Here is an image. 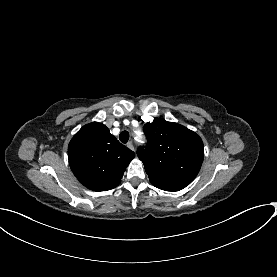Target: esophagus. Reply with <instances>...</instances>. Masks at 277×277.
Here are the masks:
<instances>
[{
    "instance_id": "esophagus-1",
    "label": "esophagus",
    "mask_w": 277,
    "mask_h": 277,
    "mask_svg": "<svg viewBox=\"0 0 277 277\" xmlns=\"http://www.w3.org/2000/svg\"><path fill=\"white\" fill-rule=\"evenodd\" d=\"M127 146L131 149V150H135V147H134V145H133V143L130 141V142H128V144H127Z\"/></svg>"
}]
</instances>
